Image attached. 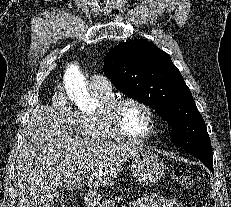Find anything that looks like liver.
<instances>
[{
    "label": "liver",
    "instance_id": "liver-1",
    "mask_svg": "<svg viewBox=\"0 0 231 207\" xmlns=\"http://www.w3.org/2000/svg\"><path fill=\"white\" fill-rule=\"evenodd\" d=\"M139 150L131 144L80 138L53 108L36 106L16 160L18 207H50L58 189H80L85 176L89 187L109 184Z\"/></svg>",
    "mask_w": 231,
    "mask_h": 207
}]
</instances>
